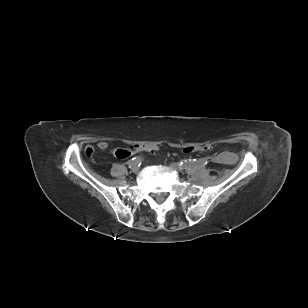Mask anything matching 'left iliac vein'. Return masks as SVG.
Masks as SVG:
<instances>
[{
    "instance_id": "4c4485c4",
    "label": "left iliac vein",
    "mask_w": 308,
    "mask_h": 308,
    "mask_svg": "<svg viewBox=\"0 0 308 308\" xmlns=\"http://www.w3.org/2000/svg\"><path fill=\"white\" fill-rule=\"evenodd\" d=\"M170 167L173 169V170H176V171H179V172H182L184 169L182 167H180L178 164L176 163H171L170 164Z\"/></svg>"
}]
</instances>
